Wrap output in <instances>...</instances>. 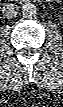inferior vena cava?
I'll return each instance as SVG.
<instances>
[{
  "instance_id": "inferior-vena-cava-1",
  "label": "inferior vena cava",
  "mask_w": 63,
  "mask_h": 107,
  "mask_svg": "<svg viewBox=\"0 0 63 107\" xmlns=\"http://www.w3.org/2000/svg\"><path fill=\"white\" fill-rule=\"evenodd\" d=\"M18 6L13 3H7L2 7V13L6 18H14L18 14Z\"/></svg>"
}]
</instances>
